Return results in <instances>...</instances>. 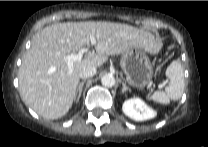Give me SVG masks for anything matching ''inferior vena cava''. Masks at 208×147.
Returning <instances> with one entry per match:
<instances>
[{
    "label": "inferior vena cava",
    "mask_w": 208,
    "mask_h": 147,
    "mask_svg": "<svg viewBox=\"0 0 208 147\" xmlns=\"http://www.w3.org/2000/svg\"><path fill=\"white\" fill-rule=\"evenodd\" d=\"M95 74H96V67L93 65H89L80 70L79 77L85 79L88 77H92Z\"/></svg>",
    "instance_id": "obj_1"
}]
</instances>
